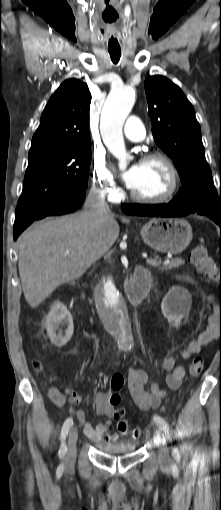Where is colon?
Wrapping results in <instances>:
<instances>
[{
    "label": "colon",
    "mask_w": 221,
    "mask_h": 510,
    "mask_svg": "<svg viewBox=\"0 0 221 510\" xmlns=\"http://www.w3.org/2000/svg\"><path fill=\"white\" fill-rule=\"evenodd\" d=\"M190 261L196 267V269L210 282L214 283L219 287L220 290V313H221V261L217 263L214 261L207 250L204 247H196L190 252ZM204 362L202 358H196L190 365L189 373L193 378L198 377L203 370ZM33 367L38 372L43 370V363L36 359L33 361ZM124 377L121 373L116 372L111 376L110 386L115 393L111 397V402L117 405L120 402L119 392L124 386ZM51 401L61 406L65 403L66 397L61 390L58 388H52L50 391ZM69 401L71 403H79L81 401L80 396L77 394H69ZM125 410L122 408L117 409L114 418L118 421V429L127 430L128 422L124 419ZM143 431L139 427H135L131 430L133 437L138 438L142 435ZM111 437L110 434L106 435L104 439L107 441Z\"/></svg>",
    "instance_id": "1"
}]
</instances>
